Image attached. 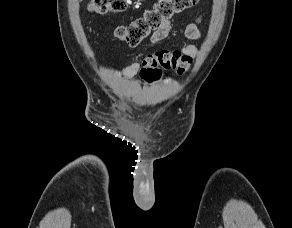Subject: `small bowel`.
Returning <instances> with one entry per match:
<instances>
[{
	"label": "small bowel",
	"instance_id": "small-bowel-1",
	"mask_svg": "<svg viewBox=\"0 0 292 228\" xmlns=\"http://www.w3.org/2000/svg\"><path fill=\"white\" fill-rule=\"evenodd\" d=\"M202 20V15H199L196 19L195 23H190L185 27L184 33L185 36L190 40H197L200 37V31L198 29V24ZM170 22L166 21L162 24V26L153 32L151 36V42L155 45H162L170 33ZM165 51V50H163ZM177 52L184 60L189 68L192 59L195 57L197 53V47L194 44H189L181 50L175 51ZM142 67V63L135 62L127 67L122 69V72L130 77L137 75Z\"/></svg>",
	"mask_w": 292,
	"mask_h": 228
}]
</instances>
